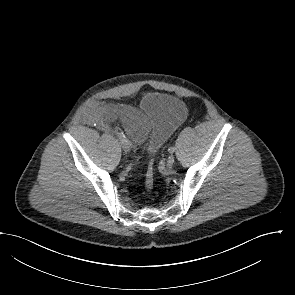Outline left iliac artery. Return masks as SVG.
<instances>
[{"instance_id":"1","label":"left iliac artery","mask_w":295,"mask_h":295,"mask_svg":"<svg viewBox=\"0 0 295 295\" xmlns=\"http://www.w3.org/2000/svg\"><path fill=\"white\" fill-rule=\"evenodd\" d=\"M168 151H169V153H173L175 151V148L171 146V147H169Z\"/></svg>"}]
</instances>
